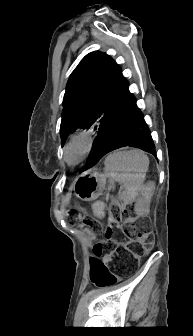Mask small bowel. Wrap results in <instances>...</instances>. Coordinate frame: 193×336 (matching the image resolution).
Here are the masks:
<instances>
[{
	"label": "small bowel",
	"instance_id": "small-bowel-1",
	"mask_svg": "<svg viewBox=\"0 0 193 336\" xmlns=\"http://www.w3.org/2000/svg\"><path fill=\"white\" fill-rule=\"evenodd\" d=\"M92 269H93V261H91V263H90V275L92 273Z\"/></svg>",
	"mask_w": 193,
	"mask_h": 336
}]
</instances>
